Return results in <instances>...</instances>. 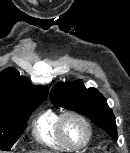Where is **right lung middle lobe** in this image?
<instances>
[{
    "mask_svg": "<svg viewBox=\"0 0 130 153\" xmlns=\"http://www.w3.org/2000/svg\"><path fill=\"white\" fill-rule=\"evenodd\" d=\"M41 103L34 102L19 109H0V150L11 149L23 133L28 116Z\"/></svg>",
    "mask_w": 130,
    "mask_h": 153,
    "instance_id": "1",
    "label": "right lung middle lobe"
}]
</instances>
